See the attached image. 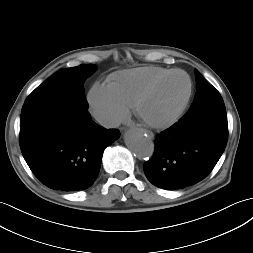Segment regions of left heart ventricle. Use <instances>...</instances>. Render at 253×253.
<instances>
[{"label": "left heart ventricle", "mask_w": 253, "mask_h": 253, "mask_svg": "<svg viewBox=\"0 0 253 253\" xmlns=\"http://www.w3.org/2000/svg\"><path fill=\"white\" fill-rule=\"evenodd\" d=\"M188 90V82L182 74H175L163 81L149 96L142 107L143 115L151 121L170 118Z\"/></svg>", "instance_id": "1"}]
</instances>
